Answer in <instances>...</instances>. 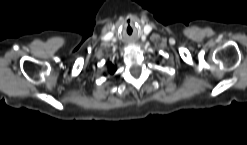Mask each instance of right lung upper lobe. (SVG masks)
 Here are the masks:
<instances>
[{
    "label": "right lung upper lobe",
    "mask_w": 247,
    "mask_h": 145,
    "mask_svg": "<svg viewBox=\"0 0 247 145\" xmlns=\"http://www.w3.org/2000/svg\"><path fill=\"white\" fill-rule=\"evenodd\" d=\"M116 71V67L113 66L112 64H109V72L113 74Z\"/></svg>",
    "instance_id": "right-lung-upper-lobe-1"
}]
</instances>
